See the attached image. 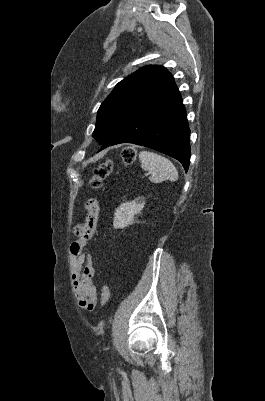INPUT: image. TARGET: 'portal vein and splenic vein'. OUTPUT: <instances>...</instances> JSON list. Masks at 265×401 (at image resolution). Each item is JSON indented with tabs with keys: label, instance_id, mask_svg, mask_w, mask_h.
<instances>
[{
	"label": "portal vein and splenic vein",
	"instance_id": "obj_1",
	"mask_svg": "<svg viewBox=\"0 0 265 401\" xmlns=\"http://www.w3.org/2000/svg\"><path fill=\"white\" fill-rule=\"evenodd\" d=\"M145 175H146V176H150V175H151V172H150V171H146V172H145Z\"/></svg>",
	"mask_w": 265,
	"mask_h": 401
}]
</instances>
